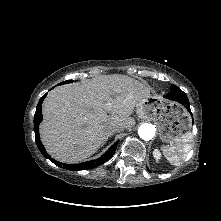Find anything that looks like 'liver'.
Returning a JSON list of instances; mask_svg holds the SVG:
<instances>
[{
	"instance_id": "1",
	"label": "liver",
	"mask_w": 221,
	"mask_h": 221,
	"mask_svg": "<svg viewBox=\"0 0 221 221\" xmlns=\"http://www.w3.org/2000/svg\"><path fill=\"white\" fill-rule=\"evenodd\" d=\"M148 95L144 84L119 74L56 87L42 105L41 140L56 160L81 162L104 144L109 123L132 127L130 115Z\"/></svg>"
}]
</instances>
